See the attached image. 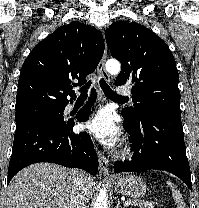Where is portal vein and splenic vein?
Here are the masks:
<instances>
[{
  "label": "portal vein and splenic vein",
  "instance_id": "obj_1",
  "mask_svg": "<svg viewBox=\"0 0 199 208\" xmlns=\"http://www.w3.org/2000/svg\"><path fill=\"white\" fill-rule=\"evenodd\" d=\"M129 205H130L129 202H125V203H124V206H125V207H128Z\"/></svg>",
  "mask_w": 199,
  "mask_h": 208
}]
</instances>
